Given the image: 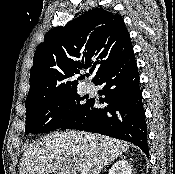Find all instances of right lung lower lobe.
I'll return each mask as SVG.
<instances>
[{
    "label": "right lung lower lobe",
    "mask_w": 175,
    "mask_h": 174,
    "mask_svg": "<svg viewBox=\"0 0 175 174\" xmlns=\"http://www.w3.org/2000/svg\"><path fill=\"white\" fill-rule=\"evenodd\" d=\"M103 85L105 108L90 99L65 129L95 132L131 142L148 156L147 125L134 52L110 66L95 82Z\"/></svg>",
    "instance_id": "obj_1"
}]
</instances>
